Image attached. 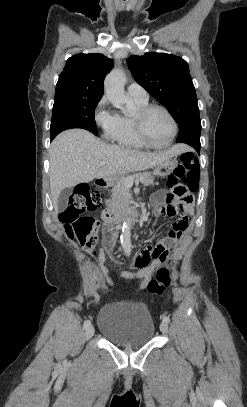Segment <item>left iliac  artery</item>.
I'll list each match as a JSON object with an SVG mask.
<instances>
[{"mask_svg": "<svg viewBox=\"0 0 247 407\" xmlns=\"http://www.w3.org/2000/svg\"><path fill=\"white\" fill-rule=\"evenodd\" d=\"M163 321L169 323L170 322V318L168 316H164L163 317Z\"/></svg>", "mask_w": 247, "mask_h": 407, "instance_id": "1", "label": "left iliac artery"}]
</instances>
